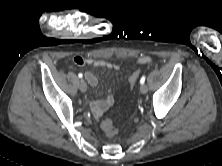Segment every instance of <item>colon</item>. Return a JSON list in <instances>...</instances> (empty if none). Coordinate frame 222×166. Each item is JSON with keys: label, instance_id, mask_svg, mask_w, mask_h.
<instances>
[{"label": "colon", "instance_id": "1", "mask_svg": "<svg viewBox=\"0 0 222 166\" xmlns=\"http://www.w3.org/2000/svg\"><path fill=\"white\" fill-rule=\"evenodd\" d=\"M140 75V71H134L129 77V84L131 87H134L138 81ZM101 128L105 132V134L109 137L114 136L117 133V129L115 128L111 119H103L101 122Z\"/></svg>", "mask_w": 222, "mask_h": 166}]
</instances>
